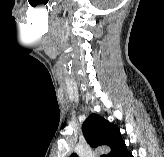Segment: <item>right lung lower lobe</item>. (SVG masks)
<instances>
[{"label":"right lung lower lobe","instance_id":"right-lung-lower-lobe-1","mask_svg":"<svg viewBox=\"0 0 164 157\" xmlns=\"http://www.w3.org/2000/svg\"><path fill=\"white\" fill-rule=\"evenodd\" d=\"M113 157H133V155L127 150V147L123 141Z\"/></svg>","mask_w":164,"mask_h":157}]
</instances>
